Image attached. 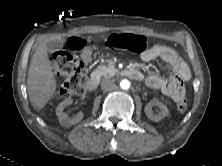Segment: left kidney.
<instances>
[{"mask_svg":"<svg viewBox=\"0 0 222 166\" xmlns=\"http://www.w3.org/2000/svg\"><path fill=\"white\" fill-rule=\"evenodd\" d=\"M153 106H158L161 109L159 114L152 113L151 109ZM144 111H145V114L147 115V117L152 121H160L161 119H163L164 117L169 115V110H168L167 106L155 99L150 101L145 106Z\"/></svg>","mask_w":222,"mask_h":166,"instance_id":"left-kidney-1","label":"left kidney"}]
</instances>
